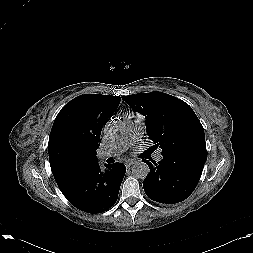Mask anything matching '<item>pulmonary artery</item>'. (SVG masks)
Wrapping results in <instances>:
<instances>
[{
  "instance_id": "pulmonary-artery-1",
  "label": "pulmonary artery",
  "mask_w": 253,
  "mask_h": 253,
  "mask_svg": "<svg viewBox=\"0 0 253 253\" xmlns=\"http://www.w3.org/2000/svg\"><path fill=\"white\" fill-rule=\"evenodd\" d=\"M125 125H126V135L119 142L113 144L106 150L102 151L99 154V158L101 160H105L109 157H114L123 151H125L129 146L138 141L143 134V124L142 118L139 116H126L125 117ZM155 158L157 161H161L163 159V155L161 150H158L155 154Z\"/></svg>"
}]
</instances>
